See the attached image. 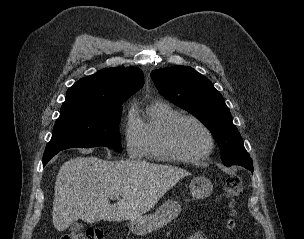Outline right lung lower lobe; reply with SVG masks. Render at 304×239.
Returning <instances> with one entry per match:
<instances>
[{
  "instance_id": "98d812e1",
  "label": "right lung lower lobe",
  "mask_w": 304,
  "mask_h": 239,
  "mask_svg": "<svg viewBox=\"0 0 304 239\" xmlns=\"http://www.w3.org/2000/svg\"><path fill=\"white\" fill-rule=\"evenodd\" d=\"M59 151H53V152H45L43 156V166H45L48 161L55 156Z\"/></svg>"
}]
</instances>
